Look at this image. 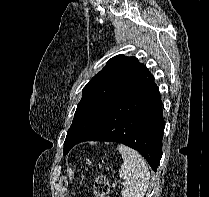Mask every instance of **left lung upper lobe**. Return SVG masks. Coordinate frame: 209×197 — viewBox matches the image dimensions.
Segmentation results:
<instances>
[{
  "instance_id": "left-lung-upper-lobe-1",
  "label": "left lung upper lobe",
  "mask_w": 209,
  "mask_h": 197,
  "mask_svg": "<svg viewBox=\"0 0 209 197\" xmlns=\"http://www.w3.org/2000/svg\"><path fill=\"white\" fill-rule=\"evenodd\" d=\"M148 74L149 70L136 57L117 55L111 58L83 88L82 99L64 142V155L118 97Z\"/></svg>"
}]
</instances>
